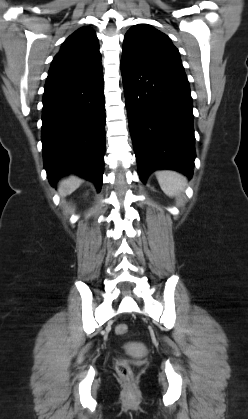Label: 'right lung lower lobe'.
Wrapping results in <instances>:
<instances>
[{
    "label": "right lung lower lobe",
    "mask_w": 248,
    "mask_h": 419,
    "mask_svg": "<svg viewBox=\"0 0 248 419\" xmlns=\"http://www.w3.org/2000/svg\"><path fill=\"white\" fill-rule=\"evenodd\" d=\"M102 66L84 75L46 82L42 150L52 185L69 172L93 181L100 191L105 153Z\"/></svg>",
    "instance_id": "1"
}]
</instances>
